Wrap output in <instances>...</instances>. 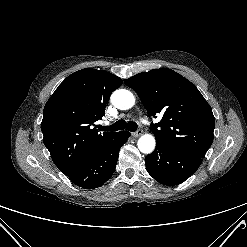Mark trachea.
<instances>
[{"label":"trachea","instance_id":"obj_1","mask_svg":"<svg viewBox=\"0 0 247 247\" xmlns=\"http://www.w3.org/2000/svg\"><path fill=\"white\" fill-rule=\"evenodd\" d=\"M99 128L102 131H118L126 128L131 132H135L137 130V124L133 121L127 123L124 120H119L110 126H100Z\"/></svg>","mask_w":247,"mask_h":247}]
</instances>
